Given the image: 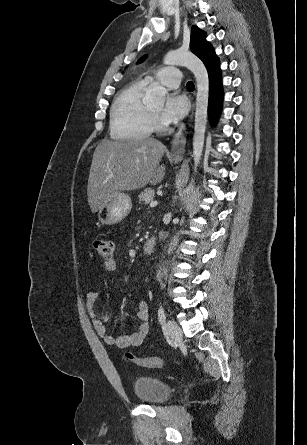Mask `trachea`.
<instances>
[{"mask_svg":"<svg viewBox=\"0 0 307 445\" xmlns=\"http://www.w3.org/2000/svg\"><path fill=\"white\" fill-rule=\"evenodd\" d=\"M186 87H187L188 90H194V83L191 82V81H189V82L187 83Z\"/></svg>","mask_w":307,"mask_h":445,"instance_id":"3493384b","label":"trachea"}]
</instances>
